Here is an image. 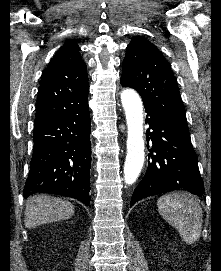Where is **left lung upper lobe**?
Returning a JSON list of instances; mask_svg holds the SVG:
<instances>
[{
    "label": "left lung upper lobe",
    "instance_id": "obj_1",
    "mask_svg": "<svg viewBox=\"0 0 221 271\" xmlns=\"http://www.w3.org/2000/svg\"><path fill=\"white\" fill-rule=\"evenodd\" d=\"M121 84L136 89L144 107L188 129L176 78L158 48L143 38H133L126 48Z\"/></svg>",
    "mask_w": 221,
    "mask_h": 271
}]
</instances>
